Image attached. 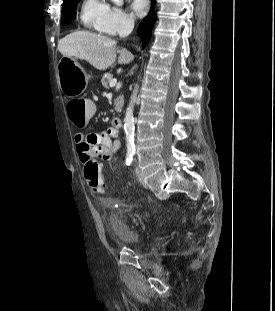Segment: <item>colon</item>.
I'll list each match as a JSON object with an SVG mask.
<instances>
[{"label": "colon", "instance_id": "1", "mask_svg": "<svg viewBox=\"0 0 275 311\" xmlns=\"http://www.w3.org/2000/svg\"><path fill=\"white\" fill-rule=\"evenodd\" d=\"M99 97H79L72 99L68 104V113L74 122L75 129H86L87 122L96 117ZM84 174L89 188L94 192H101L104 180L101 166L95 161H89L84 167Z\"/></svg>", "mask_w": 275, "mask_h": 311}]
</instances>
